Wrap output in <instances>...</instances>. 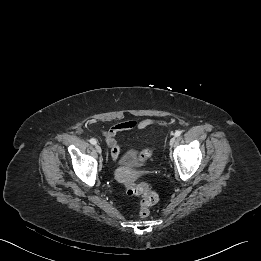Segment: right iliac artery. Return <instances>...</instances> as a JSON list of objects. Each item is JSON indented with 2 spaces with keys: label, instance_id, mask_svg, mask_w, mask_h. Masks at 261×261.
I'll use <instances>...</instances> for the list:
<instances>
[{
  "label": "right iliac artery",
  "instance_id": "1",
  "mask_svg": "<svg viewBox=\"0 0 261 261\" xmlns=\"http://www.w3.org/2000/svg\"><path fill=\"white\" fill-rule=\"evenodd\" d=\"M90 143L93 144V145H96L97 141L94 138H91Z\"/></svg>",
  "mask_w": 261,
  "mask_h": 261
}]
</instances>
